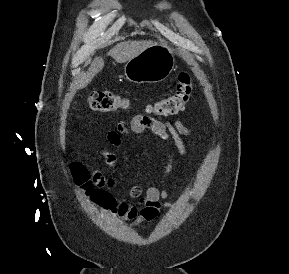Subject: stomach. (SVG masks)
Listing matches in <instances>:
<instances>
[{"label":"stomach","mask_w":289,"mask_h":274,"mask_svg":"<svg viewBox=\"0 0 289 274\" xmlns=\"http://www.w3.org/2000/svg\"><path fill=\"white\" fill-rule=\"evenodd\" d=\"M174 66L172 49L166 43H156L128 60L124 74L133 83H157L166 79Z\"/></svg>","instance_id":"1"}]
</instances>
